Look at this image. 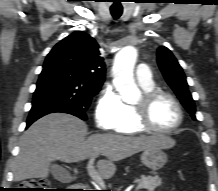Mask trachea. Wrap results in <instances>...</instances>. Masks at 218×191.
I'll return each instance as SVG.
<instances>
[{
	"label": "trachea",
	"mask_w": 218,
	"mask_h": 191,
	"mask_svg": "<svg viewBox=\"0 0 218 191\" xmlns=\"http://www.w3.org/2000/svg\"><path fill=\"white\" fill-rule=\"evenodd\" d=\"M111 14L113 16L114 19H118L121 15H122V12L123 10L120 8H111Z\"/></svg>",
	"instance_id": "trachea-1"
}]
</instances>
